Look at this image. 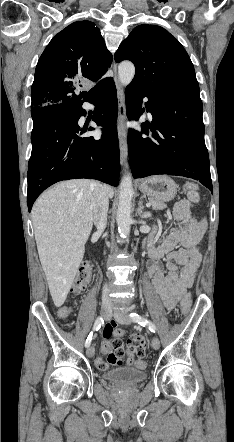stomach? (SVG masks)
Here are the masks:
<instances>
[{
  "instance_id": "1",
  "label": "stomach",
  "mask_w": 234,
  "mask_h": 442,
  "mask_svg": "<svg viewBox=\"0 0 234 442\" xmlns=\"http://www.w3.org/2000/svg\"><path fill=\"white\" fill-rule=\"evenodd\" d=\"M139 189L152 199L169 202L176 196L178 185L170 177L159 175L143 179Z\"/></svg>"
}]
</instances>
